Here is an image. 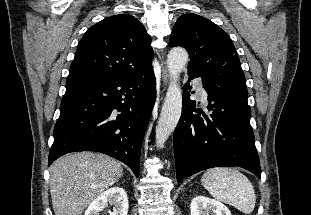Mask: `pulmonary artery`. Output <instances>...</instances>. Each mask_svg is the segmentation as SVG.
Wrapping results in <instances>:
<instances>
[{
	"instance_id": "obj_1",
	"label": "pulmonary artery",
	"mask_w": 311,
	"mask_h": 215,
	"mask_svg": "<svg viewBox=\"0 0 311 215\" xmlns=\"http://www.w3.org/2000/svg\"><path fill=\"white\" fill-rule=\"evenodd\" d=\"M195 87H196V91L200 95V97L202 99L206 100L208 95H207V92H206L205 88L203 87L202 83L197 82L195 84Z\"/></svg>"
}]
</instances>
